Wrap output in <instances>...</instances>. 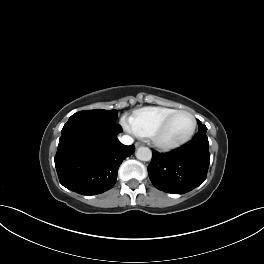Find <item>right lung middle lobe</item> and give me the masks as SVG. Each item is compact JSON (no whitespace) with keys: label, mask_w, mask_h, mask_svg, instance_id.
<instances>
[{"label":"right lung middle lobe","mask_w":264,"mask_h":264,"mask_svg":"<svg viewBox=\"0 0 264 264\" xmlns=\"http://www.w3.org/2000/svg\"><path fill=\"white\" fill-rule=\"evenodd\" d=\"M76 118H88L104 123H115L117 119V110L95 109V110L79 111L70 117V119H76Z\"/></svg>","instance_id":"dd1d6c3e"}]
</instances>
